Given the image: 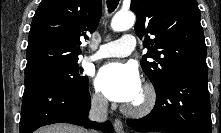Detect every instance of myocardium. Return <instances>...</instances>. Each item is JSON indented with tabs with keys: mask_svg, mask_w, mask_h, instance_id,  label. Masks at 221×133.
Returning a JSON list of instances; mask_svg holds the SVG:
<instances>
[{
	"mask_svg": "<svg viewBox=\"0 0 221 133\" xmlns=\"http://www.w3.org/2000/svg\"><path fill=\"white\" fill-rule=\"evenodd\" d=\"M157 100V95L154 87L150 84H146L142 88V98L139 102L130 104L125 107V112L133 117H142L149 114Z\"/></svg>",
	"mask_w": 221,
	"mask_h": 133,
	"instance_id": "obj_1",
	"label": "myocardium"
}]
</instances>
